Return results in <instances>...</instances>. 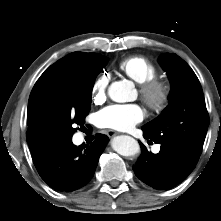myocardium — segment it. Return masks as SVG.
<instances>
[{
  "label": "myocardium",
  "mask_w": 221,
  "mask_h": 221,
  "mask_svg": "<svg viewBox=\"0 0 221 221\" xmlns=\"http://www.w3.org/2000/svg\"><path fill=\"white\" fill-rule=\"evenodd\" d=\"M140 94L148 108L154 112H162L170 99L168 85L158 78L140 84Z\"/></svg>",
  "instance_id": "obj_1"
}]
</instances>
